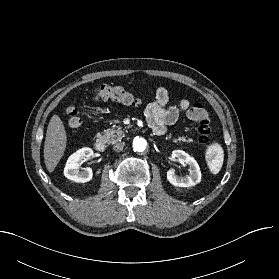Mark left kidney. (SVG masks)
<instances>
[{"mask_svg": "<svg viewBox=\"0 0 279 279\" xmlns=\"http://www.w3.org/2000/svg\"><path fill=\"white\" fill-rule=\"evenodd\" d=\"M172 157L177 158L181 163L189 165V175L179 177L173 169L167 172V180L176 187H190L201 181V171L197 161L183 150H174Z\"/></svg>", "mask_w": 279, "mask_h": 279, "instance_id": "left-kidney-1", "label": "left kidney"}]
</instances>
